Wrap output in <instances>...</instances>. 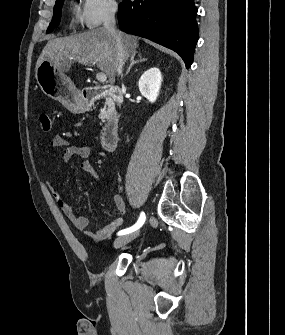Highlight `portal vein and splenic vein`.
Listing matches in <instances>:
<instances>
[{"instance_id": "18ae733b", "label": "portal vein and splenic vein", "mask_w": 285, "mask_h": 335, "mask_svg": "<svg viewBox=\"0 0 285 335\" xmlns=\"http://www.w3.org/2000/svg\"><path fill=\"white\" fill-rule=\"evenodd\" d=\"M96 80H98V82H106L107 76H105V74H96Z\"/></svg>"}]
</instances>
